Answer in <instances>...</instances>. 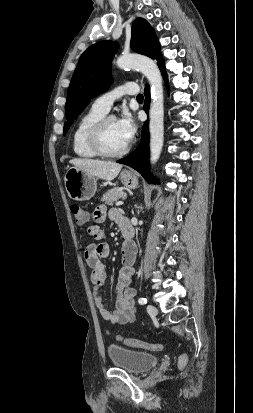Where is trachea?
I'll return each instance as SVG.
<instances>
[{
	"instance_id": "3493384b",
	"label": "trachea",
	"mask_w": 253,
	"mask_h": 413,
	"mask_svg": "<svg viewBox=\"0 0 253 413\" xmlns=\"http://www.w3.org/2000/svg\"><path fill=\"white\" fill-rule=\"evenodd\" d=\"M137 100H138V101H143V95H142V94H138V95H137Z\"/></svg>"
}]
</instances>
